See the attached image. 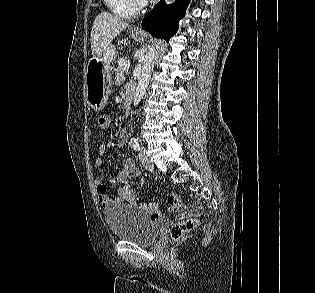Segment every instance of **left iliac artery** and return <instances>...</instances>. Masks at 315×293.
I'll return each mask as SVG.
<instances>
[{
  "label": "left iliac artery",
  "instance_id": "left-iliac-artery-1",
  "mask_svg": "<svg viewBox=\"0 0 315 293\" xmlns=\"http://www.w3.org/2000/svg\"><path fill=\"white\" fill-rule=\"evenodd\" d=\"M130 143L134 150L139 151L140 150V144L137 138L132 137L130 140Z\"/></svg>",
  "mask_w": 315,
  "mask_h": 293
}]
</instances>
